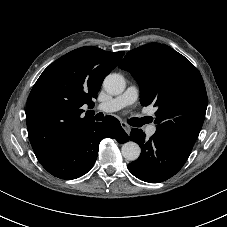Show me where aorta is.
<instances>
[{"instance_id":"aorta-1","label":"aorta","mask_w":227,"mask_h":227,"mask_svg":"<svg viewBox=\"0 0 227 227\" xmlns=\"http://www.w3.org/2000/svg\"><path fill=\"white\" fill-rule=\"evenodd\" d=\"M104 89L111 95H119L125 89V80L122 75L112 73L106 76L103 82ZM122 156L128 161H135L139 158L141 149L133 141H128L122 145Z\"/></svg>"}]
</instances>
